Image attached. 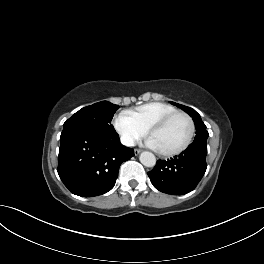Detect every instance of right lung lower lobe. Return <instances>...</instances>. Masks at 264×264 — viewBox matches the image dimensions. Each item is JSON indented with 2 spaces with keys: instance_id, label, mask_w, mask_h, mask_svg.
<instances>
[{
  "instance_id": "1",
  "label": "right lung lower lobe",
  "mask_w": 264,
  "mask_h": 264,
  "mask_svg": "<svg viewBox=\"0 0 264 264\" xmlns=\"http://www.w3.org/2000/svg\"><path fill=\"white\" fill-rule=\"evenodd\" d=\"M60 141L58 174L71 193L82 197L110 191L121 163L134 156L116 131L69 127L63 129Z\"/></svg>"
}]
</instances>
